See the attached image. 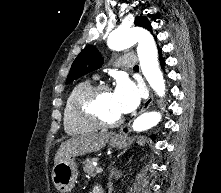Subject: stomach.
Wrapping results in <instances>:
<instances>
[{
	"label": "stomach",
	"instance_id": "0dacf381",
	"mask_svg": "<svg viewBox=\"0 0 221 193\" xmlns=\"http://www.w3.org/2000/svg\"><path fill=\"white\" fill-rule=\"evenodd\" d=\"M138 143L143 144V139H140ZM110 145L122 149L127 146V142L123 136H117L111 138ZM77 176V165L73 159L55 164L52 170V181L61 193H68L73 189Z\"/></svg>",
	"mask_w": 221,
	"mask_h": 193
}]
</instances>
